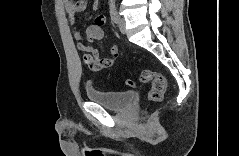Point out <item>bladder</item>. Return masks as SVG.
I'll use <instances>...</instances> for the list:
<instances>
[{"instance_id": "31cf9c89", "label": "bladder", "mask_w": 239, "mask_h": 156, "mask_svg": "<svg viewBox=\"0 0 239 156\" xmlns=\"http://www.w3.org/2000/svg\"><path fill=\"white\" fill-rule=\"evenodd\" d=\"M85 94L90 102L97 103L112 111L126 110L135 98V93L132 91L112 92L93 87H87Z\"/></svg>"}]
</instances>
